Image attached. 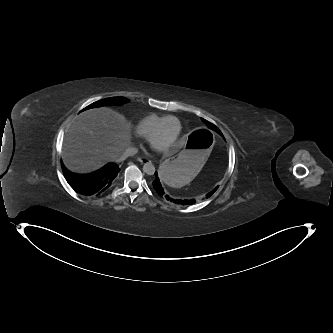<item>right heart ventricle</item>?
<instances>
[{
  "mask_svg": "<svg viewBox=\"0 0 333 333\" xmlns=\"http://www.w3.org/2000/svg\"><path fill=\"white\" fill-rule=\"evenodd\" d=\"M170 115H161L152 113L147 115L146 117L142 118L140 121L137 122L135 126V131L138 135L148 138L160 124V122ZM178 127L180 128V121H177Z\"/></svg>",
  "mask_w": 333,
  "mask_h": 333,
  "instance_id": "right-heart-ventricle-1",
  "label": "right heart ventricle"
}]
</instances>
